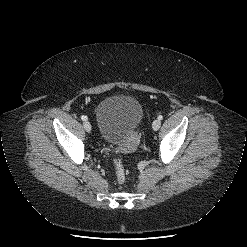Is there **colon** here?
<instances>
[{
	"label": "colon",
	"instance_id": "obj_1",
	"mask_svg": "<svg viewBox=\"0 0 247 247\" xmlns=\"http://www.w3.org/2000/svg\"><path fill=\"white\" fill-rule=\"evenodd\" d=\"M114 169L117 181L121 184L126 179V169L120 158L114 159Z\"/></svg>",
	"mask_w": 247,
	"mask_h": 247
}]
</instances>
